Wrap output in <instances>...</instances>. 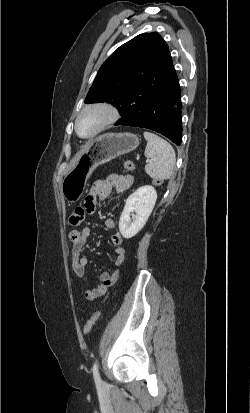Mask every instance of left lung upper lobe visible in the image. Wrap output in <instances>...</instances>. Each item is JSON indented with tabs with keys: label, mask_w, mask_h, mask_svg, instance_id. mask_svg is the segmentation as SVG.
I'll return each mask as SVG.
<instances>
[{
	"label": "left lung upper lobe",
	"mask_w": 250,
	"mask_h": 413,
	"mask_svg": "<svg viewBox=\"0 0 250 413\" xmlns=\"http://www.w3.org/2000/svg\"><path fill=\"white\" fill-rule=\"evenodd\" d=\"M170 57L166 42L157 32L136 36L103 63L84 102L106 101L120 110L142 83L166 73Z\"/></svg>",
	"instance_id": "left-lung-upper-lobe-1"
}]
</instances>
